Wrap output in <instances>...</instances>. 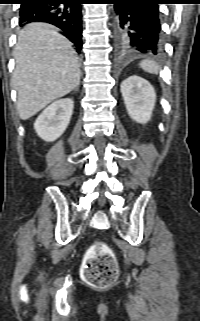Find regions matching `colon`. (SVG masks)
Returning <instances> with one entry per match:
<instances>
[{"label":"colon","instance_id":"colon-1","mask_svg":"<svg viewBox=\"0 0 200 321\" xmlns=\"http://www.w3.org/2000/svg\"><path fill=\"white\" fill-rule=\"evenodd\" d=\"M84 280L94 287H107L118 276V266L112 250L105 243L92 245L85 257L82 268Z\"/></svg>","mask_w":200,"mask_h":321}]
</instances>
